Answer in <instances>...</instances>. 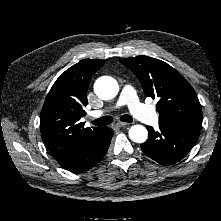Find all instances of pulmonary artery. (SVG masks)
Segmentation results:
<instances>
[{
    "label": "pulmonary artery",
    "instance_id": "pulmonary-artery-1",
    "mask_svg": "<svg viewBox=\"0 0 221 221\" xmlns=\"http://www.w3.org/2000/svg\"><path fill=\"white\" fill-rule=\"evenodd\" d=\"M127 105L132 115L138 120L149 124L156 125L158 123L157 114L146 105L142 104L134 90L130 85H125L121 91L119 99L112 109ZM106 110L93 111L90 115L94 118L102 116Z\"/></svg>",
    "mask_w": 221,
    "mask_h": 221
}]
</instances>
